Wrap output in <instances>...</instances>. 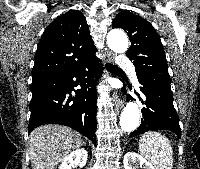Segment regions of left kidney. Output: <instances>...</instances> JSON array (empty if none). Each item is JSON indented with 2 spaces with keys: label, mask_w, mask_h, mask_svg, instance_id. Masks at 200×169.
<instances>
[{
  "label": "left kidney",
  "mask_w": 200,
  "mask_h": 169,
  "mask_svg": "<svg viewBox=\"0 0 200 169\" xmlns=\"http://www.w3.org/2000/svg\"><path fill=\"white\" fill-rule=\"evenodd\" d=\"M139 164L143 169H156L152 163L147 161L141 155L136 152H127L124 155V168L125 169H134V166Z\"/></svg>",
  "instance_id": "5707ae66"
}]
</instances>
